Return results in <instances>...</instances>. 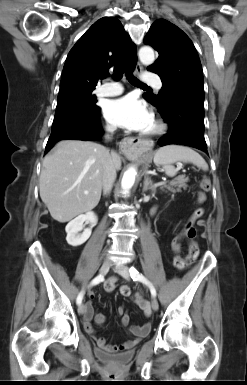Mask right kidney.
I'll use <instances>...</instances> for the list:
<instances>
[{
  "instance_id": "ca27d5eb",
  "label": "right kidney",
  "mask_w": 247,
  "mask_h": 385,
  "mask_svg": "<svg viewBox=\"0 0 247 385\" xmlns=\"http://www.w3.org/2000/svg\"><path fill=\"white\" fill-rule=\"evenodd\" d=\"M87 221L90 223L91 228L97 223V216L93 212H87L86 214L79 215L72 221H70L65 231L67 233L66 241L69 245L76 247L85 243L91 236L92 229H84L82 234H79L83 229V223Z\"/></svg>"
}]
</instances>
